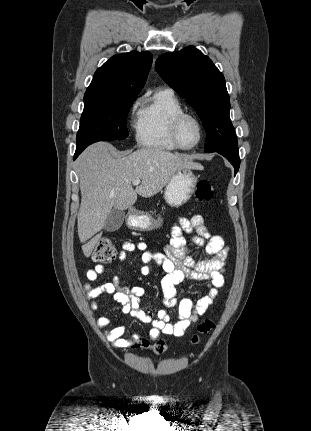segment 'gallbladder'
<instances>
[{
  "instance_id": "bac80fb5",
  "label": "gallbladder",
  "mask_w": 311,
  "mask_h": 431,
  "mask_svg": "<svg viewBox=\"0 0 311 431\" xmlns=\"http://www.w3.org/2000/svg\"><path fill=\"white\" fill-rule=\"evenodd\" d=\"M125 217V212L122 210H112L111 214L106 219V223L104 225V229L106 231H116L121 227Z\"/></svg>"
}]
</instances>
